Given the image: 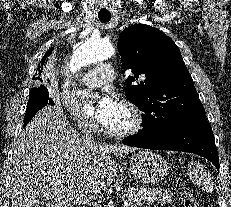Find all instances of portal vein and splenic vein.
<instances>
[{"mask_svg":"<svg viewBox=\"0 0 231 207\" xmlns=\"http://www.w3.org/2000/svg\"><path fill=\"white\" fill-rule=\"evenodd\" d=\"M124 206H125V207H131V203H129L128 201H125V202H124Z\"/></svg>","mask_w":231,"mask_h":207,"instance_id":"18ae733b","label":"portal vein and splenic vein"}]
</instances>
